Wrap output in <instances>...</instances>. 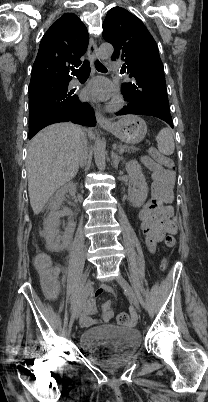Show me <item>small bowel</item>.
Listing matches in <instances>:
<instances>
[{
	"mask_svg": "<svg viewBox=\"0 0 208 402\" xmlns=\"http://www.w3.org/2000/svg\"><path fill=\"white\" fill-rule=\"evenodd\" d=\"M142 163L151 172L152 187L151 199L148 203L138 212L137 220L140 229L142 230L147 245L152 250L157 243L161 242L167 235H175L177 233V225L173 220V207L172 202V187L174 183V172L159 162L149 158L143 157ZM43 256V255H40ZM65 274V273H64ZM64 288L68 287L67 283L63 284ZM112 293L113 289L109 285H103L102 289L94 291V298L99 300L103 296V291ZM47 299L53 300L56 295H46ZM94 310V301L88 300L85 306L84 313L81 317L79 327L81 330H88L91 323H96L97 320L92 319ZM112 317L110 302H105L102 310V318L99 322H105ZM65 330L72 328L70 321L63 323Z\"/></svg>",
	"mask_w": 208,
	"mask_h": 402,
	"instance_id": "obj_1",
	"label": "small bowel"
}]
</instances>
